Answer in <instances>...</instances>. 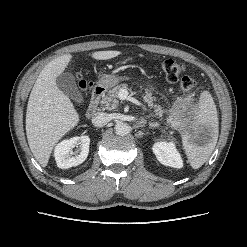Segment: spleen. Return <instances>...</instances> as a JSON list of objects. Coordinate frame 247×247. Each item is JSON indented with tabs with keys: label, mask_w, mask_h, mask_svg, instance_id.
Here are the masks:
<instances>
[{
	"label": "spleen",
	"mask_w": 247,
	"mask_h": 247,
	"mask_svg": "<svg viewBox=\"0 0 247 247\" xmlns=\"http://www.w3.org/2000/svg\"><path fill=\"white\" fill-rule=\"evenodd\" d=\"M208 129L211 132L209 140L201 145L192 141V135L199 130ZM218 116L216 105L208 91L201 93L197 115L193 124L192 134L183 135V146L192 168H200L212 154L218 140Z\"/></svg>",
	"instance_id": "3e777b00"
}]
</instances>
